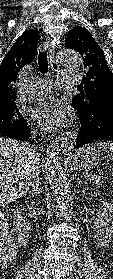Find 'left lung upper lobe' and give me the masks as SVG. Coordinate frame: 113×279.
Instances as JSON below:
<instances>
[{
	"instance_id": "5c2ea615",
	"label": "left lung upper lobe",
	"mask_w": 113,
	"mask_h": 279,
	"mask_svg": "<svg viewBox=\"0 0 113 279\" xmlns=\"http://www.w3.org/2000/svg\"><path fill=\"white\" fill-rule=\"evenodd\" d=\"M65 46L75 49L84 60V76L79 86V94L73 98L88 108L100 103H113V74L110 71L104 53L95 39L83 27L73 28L65 39Z\"/></svg>"
}]
</instances>
